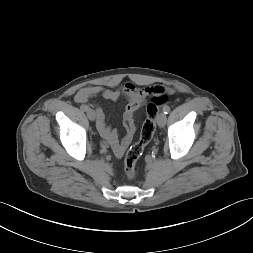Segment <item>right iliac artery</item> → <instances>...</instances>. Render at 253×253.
Returning a JSON list of instances; mask_svg holds the SVG:
<instances>
[{"label":"right iliac artery","mask_w":253,"mask_h":253,"mask_svg":"<svg viewBox=\"0 0 253 253\" xmlns=\"http://www.w3.org/2000/svg\"><path fill=\"white\" fill-rule=\"evenodd\" d=\"M81 109H82L83 111H87V110H88V106H87V105H82V106H81Z\"/></svg>","instance_id":"82829eb1"}]
</instances>
